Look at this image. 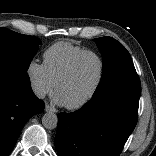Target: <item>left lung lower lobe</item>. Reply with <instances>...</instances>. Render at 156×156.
Segmentation results:
<instances>
[{
    "mask_svg": "<svg viewBox=\"0 0 156 156\" xmlns=\"http://www.w3.org/2000/svg\"><path fill=\"white\" fill-rule=\"evenodd\" d=\"M139 93L114 90L92 96L81 109L58 115L59 156H119L137 123Z\"/></svg>",
    "mask_w": 156,
    "mask_h": 156,
    "instance_id": "left-lung-lower-lobe-1",
    "label": "left lung lower lobe"
}]
</instances>
